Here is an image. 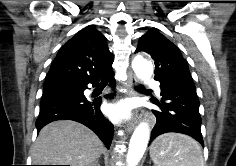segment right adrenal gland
I'll return each mask as SVG.
<instances>
[{"label": "right adrenal gland", "instance_id": "right-adrenal-gland-1", "mask_svg": "<svg viewBox=\"0 0 236 166\" xmlns=\"http://www.w3.org/2000/svg\"><path fill=\"white\" fill-rule=\"evenodd\" d=\"M91 166H100V164H99V162H98V160L94 163V164H92Z\"/></svg>", "mask_w": 236, "mask_h": 166}]
</instances>
